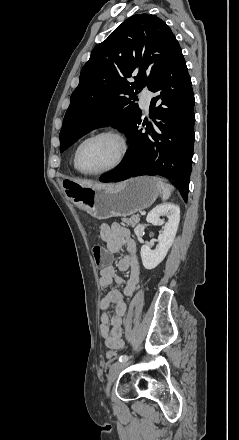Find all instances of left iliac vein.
Wrapping results in <instances>:
<instances>
[{
	"label": "left iliac vein",
	"mask_w": 239,
	"mask_h": 440,
	"mask_svg": "<svg viewBox=\"0 0 239 440\" xmlns=\"http://www.w3.org/2000/svg\"><path fill=\"white\" fill-rule=\"evenodd\" d=\"M128 365H129V363L127 361L126 362L117 361L114 364H112V366L110 367L109 373H108V384H107V389H106V392L108 395L110 392L111 385L116 380V378L118 377L120 372L123 369H125Z\"/></svg>",
	"instance_id": "4c4485c4"
}]
</instances>
